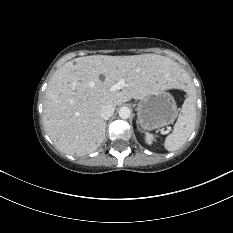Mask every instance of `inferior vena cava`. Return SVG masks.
<instances>
[{
  "label": "inferior vena cava",
  "mask_w": 233,
  "mask_h": 233,
  "mask_svg": "<svg viewBox=\"0 0 233 233\" xmlns=\"http://www.w3.org/2000/svg\"><path fill=\"white\" fill-rule=\"evenodd\" d=\"M115 111V106L112 104H105L100 109V117L104 120H108Z\"/></svg>",
  "instance_id": "inferior-vena-cava-1"
}]
</instances>
